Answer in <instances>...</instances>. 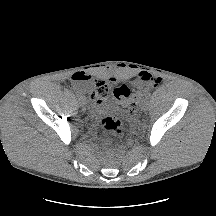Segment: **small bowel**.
<instances>
[{
  "label": "small bowel",
  "instance_id": "obj_1",
  "mask_svg": "<svg viewBox=\"0 0 216 216\" xmlns=\"http://www.w3.org/2000/svg\"><path fill=\"white\" fill-rule=\"evenodd\" d=\"M70 79L75 85H79L83 82H86L89 78L85 73L76 72V73L72 74ZM118 88H124L127 92H130L129 88L126 85H122Z\"/></svg>",
  "mask_w": 216,
  "mask_h": 216
}]
</instances>
